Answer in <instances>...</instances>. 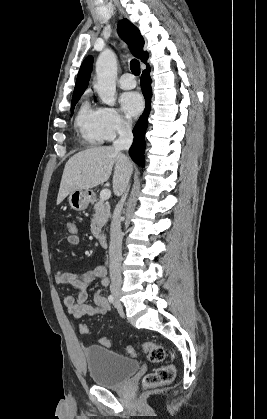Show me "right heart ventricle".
Returning <instances> with one entry per match:
<instances>
[{
    "instance_id": "1",
    "label": "right heart ventricle",
    "mask_w": 267,
    "mask_h": 419,
    "mask_svg": "<svg viewBox=\"0 0 267 419\" xmlns=\"http://www.w3.org/2000/svg\"><path fill=\"white\" fill-rule=\"evenodd\" d=\"M74 123L77 132L90 145H99L105 140L100 125V109L88 100L81 103Z\"/></svg>"
}]
</instances>
